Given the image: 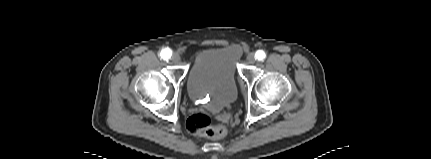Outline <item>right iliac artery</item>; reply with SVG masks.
I'll use <instances>...</instances> for the list:
<instances>
[{
    "label": "right iliac artery",
    "mask_w": 431,
    "mask_h": 159,
    "mask_svg": "<svg viewBox=\"0 0 431 159\" xmlns=\"http://www.w3.org/2000/svg\"><path fill=\"white\" fill-rule=\"evenodd\" d=\"M171 55H172V51L169 48H165L160 53L161 58H163L164 60L169 59Z\"/></svg>",
    "instance_id": "1"
}]
</instances>
